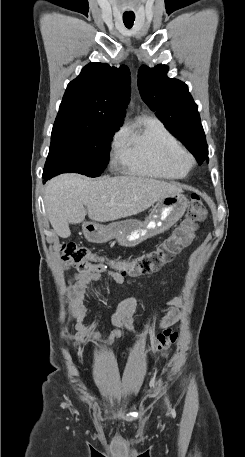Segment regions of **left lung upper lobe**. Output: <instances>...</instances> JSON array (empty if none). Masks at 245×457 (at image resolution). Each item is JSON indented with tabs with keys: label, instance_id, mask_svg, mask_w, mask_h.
Instances as JSON below:
<instances>
[{
	"label": "left lung upper lobe",
	"instance_id": "left-lung-upper-lobe-1",
	"mask_svg": "<svg viewBox=\"0 0 245 457\" xmlns=\"http://www.w3.org/2000/svg\"><path fill=\"white\" fill-rule=\"evenodd\" d=\"M168 69L161 64L154 68L142 65L138 71L140 95L165 127L199 161L208 151V146L198 107L185 83L167 77Z\"/></svg>",
	"mask_w": 245,
	"mask_h": 457
}]
</instances>
